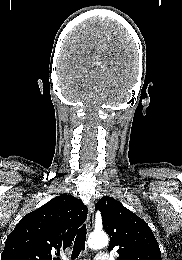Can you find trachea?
<instances>
[{
  "mask_svg": "<svg viewBox=\"0 0 182 260\" xmlns=\"http://www.w3.org/2000/svg\"><path fill=\"white\" fill-rule=\"evenodd\" d=\"M86 234H87V229H86V225L84 224L78 230L77 236L75 238L72 256H71L72 260L78 258L81 251L85 250Z\"/></svg>",
  "mask_w": 182,
  "mask_h": 260,
  "instance_id": "3493384b",
  "label": "trachea"
}]
</instances>
